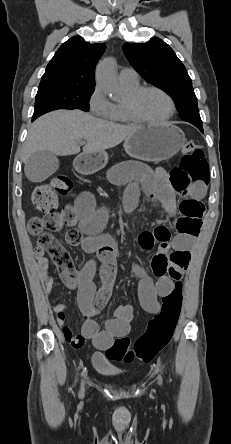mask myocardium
<instances>
[{
    "mask_svg": "<svg viewBox=\"0 0 231 444\" xmlns=\"http://www.w3.org/2000/svg\"><path fill=\"white\" fill-rule=\"evenodd\" d=\"M147 91H156L162 94L169 102L170 105V112L168 115L163 117L159 120H148L143 117H141L137 111V101ZM125 110L129 116V118L132 120V122L140 123V124H148V125H159L162 123H165L169 121L176 112V104L174 102V99L172 96L166 92L164 89L154 86V85H148V86H140L134 91L130 92L128 95V98L124 102Z\"/></svg>",
    "mask_w": 231,
    "mask_h": 444,
    "instance_id": "f54148a6",
    "label": "myocardium"
}]
</instances>
